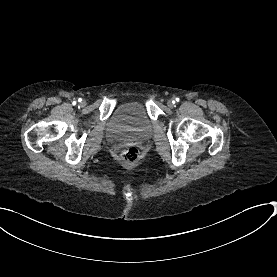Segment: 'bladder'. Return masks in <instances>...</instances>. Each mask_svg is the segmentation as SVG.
Segmentation results:
<instances>
[{"mask_svg":"<svg viewBox=\"0 0 277 277\" xmlns=\"http://www.w3.org/2000/svg\"><path fill=\"white\" fill-rule=\"evenodd\" d=\"M105 123L117 142L147 141L153 130V122L140 101L115 104Z\"/></svg>","mask_w":277,"mask_h":277,"instance_id":"obj_1","label":"bladder"}]
</instances>
